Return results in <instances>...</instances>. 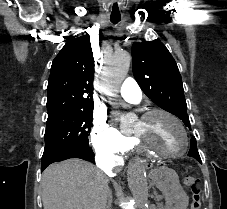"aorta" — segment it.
<instances>
[{
    "instance_id": "1",
    "label": "aorta",
    "mask_w": 227,
    "mask_h": 209,
    "mask_svg": "<svg viewBox=\"0 0 227 209\" xmlns=\"http://www.w3.org/2000/svg\"><path fill=\"white\" fill-rule=\"evenodd\" d=\"M131 64V56L126 51H118L109 57L102 70L101 89L107 95L115 94L126 77ZM127 179L130 191L139 209L148 205V184L146 166L135 159L128 164Z\"/></svg>"
}]
</instances>
